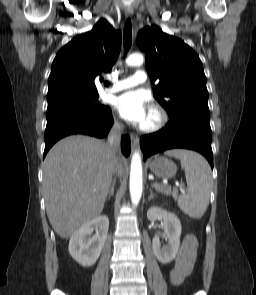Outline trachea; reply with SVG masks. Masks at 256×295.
Segmentation results:
<instances>
[{
	"label": "trachea",
	"mask_w": 256,
	"mask_h": 295,
	"mask_svg": "<svg viewBox=\"0 0 256 295\" xmlns=\"http://www.w3.org/2000/svg\"><path fill=\"white\" fill-rule=\"evenodd\" d=\"M123 38H124V50L125 52H128L132 44V25H131L130 18H128L125 22Z\"/></svg>",
	"instance_id": "1"
}]
</instances>
